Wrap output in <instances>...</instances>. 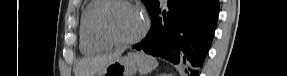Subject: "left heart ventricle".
<instances>
[{"instance_id":"b2bd125f","label":"left heart ventricle","mask_w":287,"mask_h":76,"mask_svg":"<svg viewBox=\"0 0 287 76\" xmlns=\"http://www.w3.org/2000/svg\"><path fill=\"white\" fill-rule=\"evenodd\" d=\"M103 25L112 37L116 39H130L142 29L143 17L135 8L118 4L107 12Z\"/></svg>"}]
</instances>
